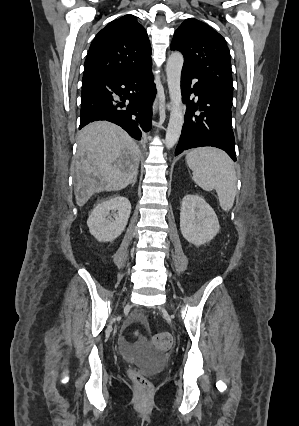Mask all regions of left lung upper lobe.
Masks as SVG:
<instances>
[{
	"label": "left lung upper lobe",
	"mask_w": 299,
	"mask_h": 426,
	"mask_svg": "<svg viewBox=\"0 0 299 426\" xmlns=\"http://www.w3.org/2000/svg\"><path fill=\"white\" fill-rule=\"evenodd\" d=\"M171 49L184 55V68L232 99L230 52L225 39L207 24L186 19L175 31Z\"/></svg>",
	"instance_id": "5c2ea615"
}]
</instances>
